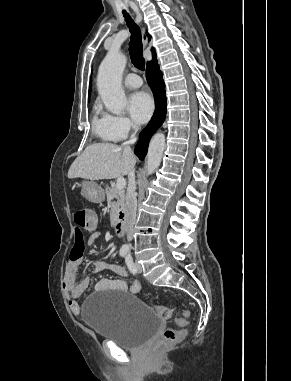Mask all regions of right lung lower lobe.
I'll list each match as a JSON object with an SVG mask.
<instances>
[{"label":"right lung lower lobe","instance_id":"right-lung-lower-lobe-1","mask_svg":"<svg viewBox=\"0 0 291 381\" xmlns=\"http://www.w3.org/2000/svg\"><path fill=\"white\" fill-rule=\"evenodd\" d=\"M146 78L155 98V112L147 127L140 133L139 141L135 146V154L143 160L147 154L151 136L162 125L166 117L165 84L159 70L157 60L147 64Z\"/></svg>","mask_w":291,"mask_h":381}]
</instances>
